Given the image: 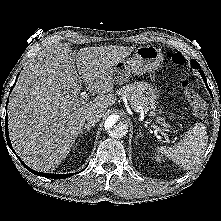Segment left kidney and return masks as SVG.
<instances>
[{
  "label": "left kidney",
  "instance_id": "5707ae66",
  "mask_svg": "<svg viewBox=\"0 0 221 221\" xmlns=\"http://www.w3.org/2000/svg\"><path fill=\"white\" fill-rule=\"evenodd\" d=\"M155 159H156L157 162H161L162 161V158L160 156H158V155L155 157Z\"/></svg>",
  "mask_w": 221,
  "mask_h": 221
}]
</instances>
